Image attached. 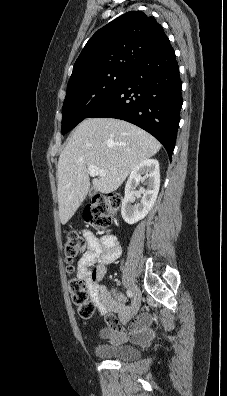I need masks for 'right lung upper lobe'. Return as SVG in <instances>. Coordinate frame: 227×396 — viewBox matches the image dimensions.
<instances>
[{"label": "right lung upper lobe", "mask_w": 227, "mask_h": 396, "mask_svg": "<svg viewBox=\"0 0 227 396\" xmlns=\"http://www.w3.org/2000/svg\"><path fill=\"white\" fill-rule=\"evenodd\" d=\"M169 44L160 24L141 11L127 12L99 29L76 60L70 87L111 70H132Z\"/></svg>", "instance_id": "right-lung-upper-lobe-1"}]
</instances>
